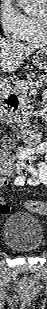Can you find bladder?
<instances>
[{
    "label": "bladder",
    "mask_w": 47,
    "mask_h": 309,
    "mask_svg": "<svg viewBox=\"0 0 47 309\" xmlns=\"http://www.w3.org/2000/svg\"><path fill=\"white\" fill-rule=\"evenodd\" d=\"M4 243L19 253H34L44 242V231L40 222L32 215L23 212L11 214L5 221Z\"/></svg>",
    "instance_id": "bladder-1"
}]
</instances>
